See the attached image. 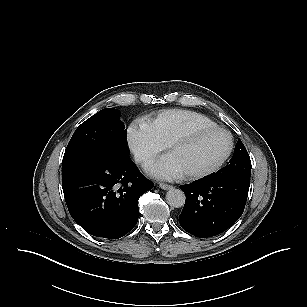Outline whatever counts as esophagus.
Listing matches in <instances>:
<instances>
[{"label":"esophagus","mask_w":307,"mask_h":307,"mask_svg":"<svg viewBox=\"0 0 307 307\" xmlns=\"http://www.w3.org/2000/svg\"><path fill=\"white\" fill-rule=\"evenodd\" d=\"M159 186H160V188L163 189V190H169V189H172V188H173L172 185L165 184V183H159Z\"/></svg>","instance_id":"obj_1"}]
</instances>
